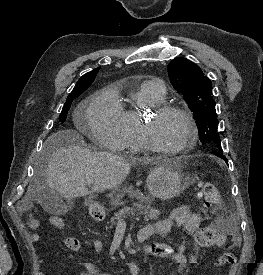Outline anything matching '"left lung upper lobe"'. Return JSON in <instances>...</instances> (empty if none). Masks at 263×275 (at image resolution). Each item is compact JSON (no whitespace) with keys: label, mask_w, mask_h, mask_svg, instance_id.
I'll return each mask as SVG.
<instances>
[{"label":"left lung upper lobe","mask_w":263,"mask_h":275,"mask_svg":"<svg viewBox=\"0 0 263 275\" xmlns=\"http://www.w3.org/2000/svg\"><path fill=\"white\" fill-rule=\"evenodd\" d=\"M167 70L172 86L184 95L193 112L201 143L222 150L210 79L204 76L198 65L186 58L172 60Z\"/></svg>","instance_id":"1"}]
</instances>
